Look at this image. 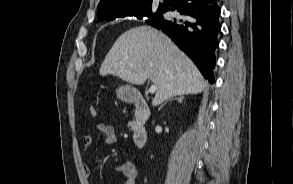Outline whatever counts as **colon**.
<instances>
[{"label": "colon", "mask_w": 293, "mask_h": 184, "mask_svg": "<svg viewBox=\"0 0 293 184\" xmlns=\"http://www.w3.org/2000/svg\"><path fill=\"white\" fill-rule=\"evenodd\" d=\"M89 112H90L91 116H93V117L96 116V114H97L96 109L93 106H90Z\"/></svg>", "instance_id": "1"}]
</instances>
